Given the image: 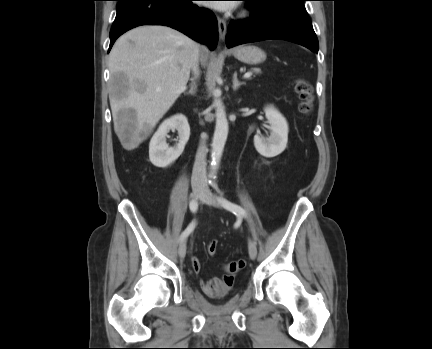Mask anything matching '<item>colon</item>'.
<instances>
[{"label":"colon","mask_w":432,"mask_h":349,"mask_svg":"<svg viewBox=\"0 0 432 349\" xmlns=\"http://www.w3.org/2000/svg\"><path fill=\"white\" fill-rule=\"evenodd\" d=\"M295 91L300 99L299 110L301 113L307 115L312 110L313 102V88L309 82L304 79H297L295 82ZM218 248L217 241H212L208 245V253L215 255ZM245 266L244 260H237L229 262L225 266L226 273L230 276H234L237 272L243 269Z\"/></svg>","instance_id":"obj_1"}]
</instances>
